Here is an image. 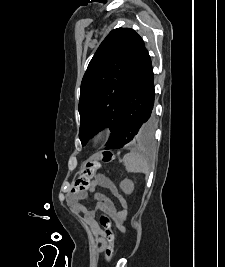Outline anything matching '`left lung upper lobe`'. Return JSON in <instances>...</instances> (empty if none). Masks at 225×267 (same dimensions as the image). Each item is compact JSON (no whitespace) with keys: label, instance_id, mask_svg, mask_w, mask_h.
I'll list each match as a JSON object with an SVG mask.
<instances>
[{"label":"left lung upper lobe","instance_id":"5c2ea615","mask_svg":"<svg viewBox=\"0 0 225 267\" xmlns=\"http://www.w3.org/2000/svg\"><path fill=\"white\" fill-rule=\"evenodd\" d=\"M144 48L142 38L130 28L112 30L99 46L81 82L79 138L82 145L106 126L112 130L107 144L113 139L133 73ZM152 135L145 138L142 124L133 143H147Z\"/></svg>","mask_w":225,"mask_h":267}]
</instances>
